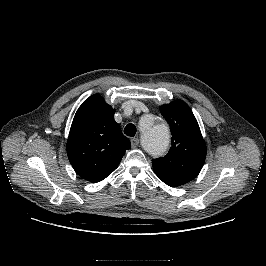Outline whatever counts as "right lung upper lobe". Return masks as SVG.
<instances>
[{"mask_svg": "<svg viewBox=\"0 0 266 266\" xmlns=\"http://www.w3.org/2000/svg\"><path fill=\"white\" fill-rule=\"evenodd\" d=\"M131 143L114 120V109L99 94L77 110L67 141V155L76 173L96 183L119 165Z\"/></svg>", "mask_w": 266, "mask_h": 266, "instance_id": "right-lung-upper-lobe-1", "label": "right lung upper lobe"}]
</instances>
